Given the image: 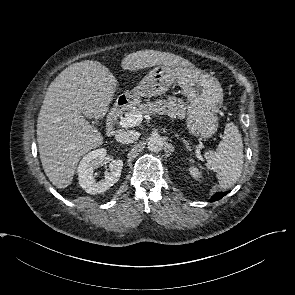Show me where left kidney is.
Wrapping results in <instances>:
<instances>
[{"label":"left kidney","instance_id":"obj_1","mask_svg":"<svg viewBox=\"0 0 295 295\" xmlns=\"http://www.w3.org/2000/svg\"><path fill=\"white\" fill-rule=\"evenodd\" d=\"M189 172L190 175L195 179V180H199L202 176H201V172L199 171L198 168L196 167H189Z\"/></svg>","mask_w":295,"mask_h":295}]
</instances>
